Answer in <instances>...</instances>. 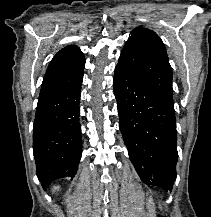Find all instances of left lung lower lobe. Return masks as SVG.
Masks as SVG:
<instances>
[{
    "instance_id": "0a47b994",
    "label": "left lung lower lobe",
    "mask_w": 211,
    "mask_h": 217,
    "mask_svg": "<svg viewBox=\"0 0 211 217\" xmlns=\"http://www.w3.org/2000/svg\"><path fill=\"white\" fill-rule=\"evenodd\" d=\"M113 87L120 130L138 175L151 188L171 191L178 159L174 104L118 64Z\"/></svg>"
}]
</instances>
